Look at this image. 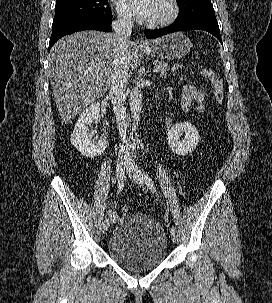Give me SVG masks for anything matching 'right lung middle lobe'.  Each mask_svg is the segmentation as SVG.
<instances>
[{
  "label": "right lung middle lobe",
  "mask_w": 272,
  "mask_h": 303,
  "mask_svg": "<svg viewBox=\"0 0 272 303\" xmlns=\"http://www.w3.org/2000/svg\"><path fill=\"white\" fill-rule=\"evenodd\" d=\"M81 16H112L107 0H56L53 25Z\"/></svg>",
  "instance_id": "obj_1"
}]
</instances>
